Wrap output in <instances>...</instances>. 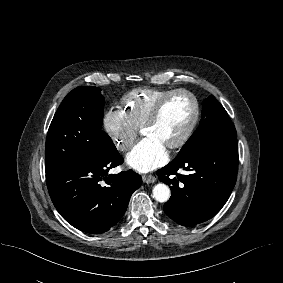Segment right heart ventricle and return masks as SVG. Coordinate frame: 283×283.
Returning <instances> with one entry per match:
<instances>
[{"label":"right heart ventricle","instance_id":"right-heart-ventricle-1","mask_svg":"<svg viewBox=\"0 0 283 283\" xmlns=\"http://www.w3.org/2000/svg\"><path fill=\"white\" fill-rule=\"evenodd\" d=\"M171 91V89L161 88L133 89L121 99L122 110L130 121L140 129L157 101Z\"/></svg>","mask_w":283,"mask_h":283}]
</instances>
